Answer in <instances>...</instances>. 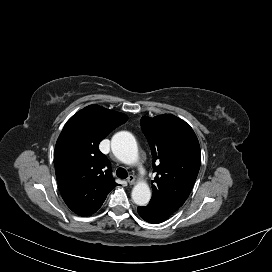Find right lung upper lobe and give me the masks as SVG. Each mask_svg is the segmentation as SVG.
Segmentation results:
<instances>
[{"label":"right lung upper lobe","mask_w":272,"mask_h":272,"mask_svg":"<svg viewBox=\"0 0 272 272\" xmlns=\"http://www.w3.org/2000/svg\"><path fill=\"white\" fill-rule=\"evenodd\" d=\"M125 114L99 105L87 106L65 124L55 146V172L67 206L79 216L95 213L118 185L110 162L98 145L127 121Z\"/></svg>","instance_id":"1"}]
</instances>
